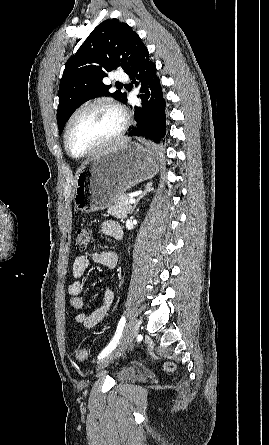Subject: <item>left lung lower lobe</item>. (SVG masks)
Returning a JSON list of instances; mask_svg holds the SVG:
<instances>
[{
	"mask_svg": "<svg viewBox=\"0 0 269 445\" xmlns=\"http://www.w3.org/2000/svg\"><path fill=\"white\" fill-rule=\"evenodd\" d=\"M132 83H141L143 107L134 106L136 124L129 136H144L160 142L166 134V100L162 92L156 65L150 60L148 50L144 51L138 63L127 73ZM127 99V95L124 98Z\"/></svg>",
	"mask_w": 269,
	"mask_h": 445,
	"instance_id": "1",
	"label": "left lung lower lobe"
}]
</instances>
